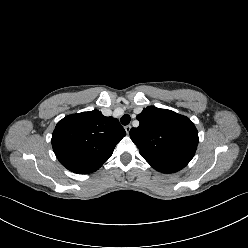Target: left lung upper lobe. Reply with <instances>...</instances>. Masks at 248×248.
I'll list each match as a JSON object with an SVG mask.
<instances>
[{
	"mask_svg": "<svg viewBox=\"0 0 248 248\" xmlns=\"http://www.w3.org/2000/svg\"><path fill=\"white\" fill-rule=\"evenodd\" d=\"M137 119L140 124L131 128L130 137L151 167L162 173H174L190 162L199 139L189 118L149 106Z\"/></svg>",
	"mask_w": 248,
	"mask_h": 248,
	"instance_id": "5c2ea615",
	"label": "left lung upper lobe"
}]
</instances>
